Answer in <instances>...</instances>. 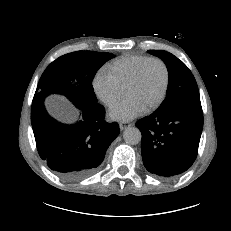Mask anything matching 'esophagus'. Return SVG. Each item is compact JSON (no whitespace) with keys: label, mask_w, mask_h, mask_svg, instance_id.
Masks as SVG:
<instances>
[{"label":"esophagus","mask_w":231,"mask_h":231,"mask_svg":"<svg viewBox=\"0 0 231 231\" xmlns=\"http://www.w3.org/2000/svg\"><path fill=\"white\" fill-rule=\"evenodd\" d=\"M130 126H131V123H129V122H121V123L119 124V127H120V130H121V131L125 130L126 128H128V127H130Z\"/></svg>","instance_id":"obj_1"}]
</instances>
